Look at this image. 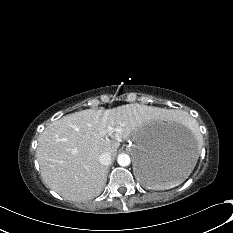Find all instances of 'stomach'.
<instances>
[{
  "label": "stomach",
  "mask_w": 233,
  "mask_h": 233,
  "mask_svg": "<svg viewBox=\"0 0 233 233\" xmlns=\"http://www.w3.org/2000/svg\"><path fill=\"white\" fill-rule=\"evenodd\" d=\"M134 174L148 188L182 182L193 170L198 148L184 130L145 124L131 136Z\"/></svg>",
  "instance_id": "obj_1"
}]
</instances>
